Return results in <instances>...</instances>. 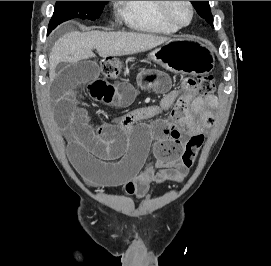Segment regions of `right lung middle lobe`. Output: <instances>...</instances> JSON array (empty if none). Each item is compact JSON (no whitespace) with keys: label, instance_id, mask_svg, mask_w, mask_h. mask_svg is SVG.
I'll return each mask as SVG.
<instances>
[{"label":"right lung middle lobe","instance_id":"obj_1","mask_svg":"<svg viewBox=\"0 0 271 266\" xmlns=\"http://www.w3.org/2000/svg\"><path fill=\"white\" fill-rule=\"evenodd\" d=\"M107 1H57L48 27V34L58 24L72 18L95 20Z\"/></svg>","mask_w":271,"mask_h":266}]
</instances>
